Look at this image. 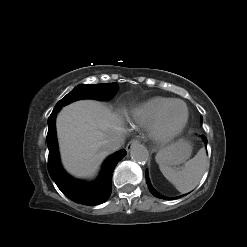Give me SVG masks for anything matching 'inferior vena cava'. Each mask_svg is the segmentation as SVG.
Wrapping results in <instances>:
<instances>
[{"instance_id": "obj_1", "label": "inferior vena cava", "mask_w": 247, "mask_h": 247, "mask_svg": "<svg viewBox=\"0 0 247 247\" xmlns=\"http://www.w3.org/2000/svg\"><path fill=\"white\" fill-rule=\"evenodd\" d=\"M124 143V139L122 136H116L112 138L107 144L106 149L109 153L115 152L120 149L122 144Z\"/></svg>"}]
</instances>
